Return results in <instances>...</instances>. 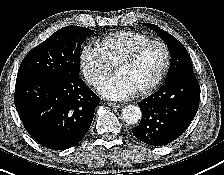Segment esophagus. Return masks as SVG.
I'll return each instance as SVG.
<instances>
[{
    "mask_svg": "<svg viewBox=\"0 0 224 175\" xmlns=\"http://www.w3.org/2000/svg\"><path fill=\"white\" fill-rule=\"evenodd\" d=\"M108 106L112 107V108H120L122 106V104L120 103H115V102H107Z\"/></svg>",
    "mask_w": 224,
    "mask_h": 175,
    "instance_id": "esophagus-1",
    "label": "esophagus"
}]
</instances>
